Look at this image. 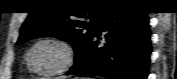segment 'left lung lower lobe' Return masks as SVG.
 Returning a JSON list of instances; mask_svg holds the SVG:
<instances>
[{
    "instance_id": "0a47b994",
    "label": "left lung lower lobe",
    "mask_w": 177,
    "mask_h": 79,
    "mask_svg": "<svg viewBox=\"0 0 177 79\" xmlns=\"http://www.w3.org/2000/svg\"><path fill=\"white\" fill-rule=\"evenodd\" d=\"M104 32V37L101 33ZM104 43L100 46V40ZM151 46L149 19L130 6L103 10L82 55L66 75L88 74L111 79H146Z\"/></svg>"
}]
</instances>
